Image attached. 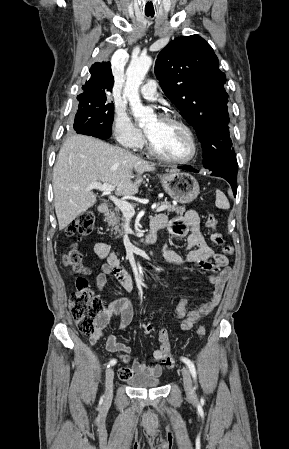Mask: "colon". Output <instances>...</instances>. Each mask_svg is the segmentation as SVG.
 Instances as JSON below:
<instances>
[{
	"mask_svg": "<svg viewBox=\"0 0 289 449\" xmlns=\"http://www.w3.org/2000/svg\"><path fill=\"white\" fill-rule=\"evenodd\" d=\"M94 221L95 214L92 211L81 213L68 227L69 236L80 237L87 235L91 231ZM205 224L212 230L210 235L212 243L217 246H222L224 244V238L217 230L218 221L216 216L214 214H208ZM223 252L226 255H231L233 253V248L231 246H224ZM63 261L73 273L87 274L89 272V270L83 266L81 254L75 247H70L65 253ZM69 308L79 331L84 335H94L100 326L105 306L102 299L93 292L87 279L84 277H78L76 280L75 291L69 298ZM142 329L146 335L151 334L154 330L153 326L149 323L144 324ZM205 333L206 330L203 326H200L197 329V335L199 337H203ZM158 340L160 343L158 349L161 353L163 364L168 368L174 367L175 360L171 355L169 335L165 328L159 330Z\"/></svg>",
	"mask_w": 289,
	"mask_h": 449,
	"instance_id": "obj_1",
	"label": "colon"
}]
</instances>
